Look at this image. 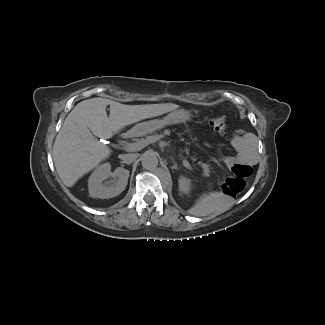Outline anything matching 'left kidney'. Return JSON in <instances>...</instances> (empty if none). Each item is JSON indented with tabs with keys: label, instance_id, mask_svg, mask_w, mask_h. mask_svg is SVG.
<instances>
[{
	"label": "left kidney",
	"instance_id": "obj_1",
	"mask_svg": "<svg viewBox=\"0 0 325 325\" xmlns=\"http://www.w3.org/2000/svg\"><path fill=\"white\" fill-rule=\"evenodd\" d=\"M179 191L183 194H188L191 190V180L187 177L181 176L178 180Z\"/></svg>",
	"mask_w": 325,
	"mask_h": 325
}]
</instances>
